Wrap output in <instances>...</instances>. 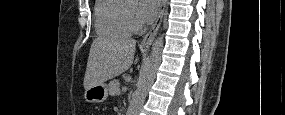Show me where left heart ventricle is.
<instances>
[{
	"label": "left heart ventricle",
	"mask_w": 285,
	"mask_h": 115,
	"mask_svg": "<svg viewBox=\"0 0 285 115\" xmlns=\"http://www.w3.org/2000/svg\"><path fill=\"white\" fill-rule=\"evenodd\" d=\"M129 10H130V12L135 13V11L137 10V7L131 6V8Z\"/></svg>",
	"instance_id": "left-heart-ventricle-1"
}]
</instances>
